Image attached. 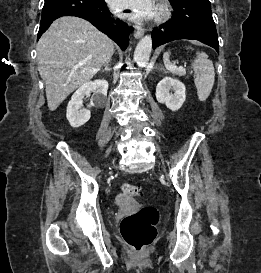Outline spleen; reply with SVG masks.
<instances>
[{
	"mask_svg": "<svg viewBox=\"0 0 261 273\" xmlns=\"http://www.w3.org/2000/svg\"><path fill=\"white\" fill-rule=\"evenodd\" d=\"M188 48L192 50V47ZM169 57L170 51L165 52L163 55L165 68L172 74L184 76L186 70L173 64ZM192 68L194 70V83L197 88L198 99L204 102L209 97L215 81L213 62L208 59L206 53L197 51L196 58L192 61Z\"/></svg>",
	"mask_w": 261,
	"mask_h": 273,
	"instance_id": "1",
	"label": "spleen"
}]
</instances>
